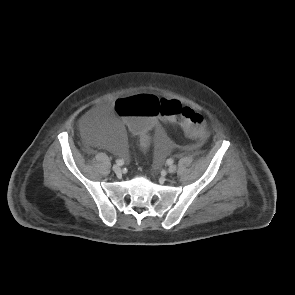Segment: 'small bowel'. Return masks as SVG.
I'll use <instances>...</instances> for the list:
<instances>
[{
    "label": "small bowel",
    "mask_w": 295,
    "mask_h": 295,
    "mask_svg": "<svg viewBox=\"0 0 295 295\" xmlns=\"http://www.w3.org/2000/svg\"><path fill=\"white\" fill-rule=\"evenodd\" d=\"M160 118H161V120H162V117L160 116ZM163 121V120H162ZM166 122H174V121H166ZM156 126H161L160 125V122H159V119L157 120V122L151 127V129L150 130H154V128L156 127ZM155 136H156V134H155ZM143 137H145V136H143ZM156 139H158L157 137H156Z\"/></svg>",
    "instance_id": "c3829d8e"
}]
</instances>
